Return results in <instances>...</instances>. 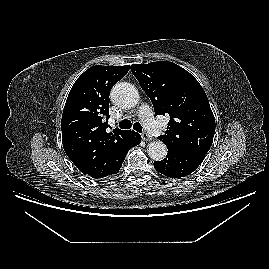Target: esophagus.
Returning <instances> with one entry per match:
<instances>
[{
  "instance_id": "esophagus-1",
  "label": "esophagus",
  "mask_w": 269,
  "mask_h": 269,
  "mask_svg": "<svg viewBox=\"0 0 269 269\" xmlns=\"http://www.w3.org/2000/svg\"><path fill=\"white\" fill-rule=\"evenodd\" d=\"M141 137L144 141H150L152 138L146 132L141 133Z\"/></svg>"
}]
</instances>
